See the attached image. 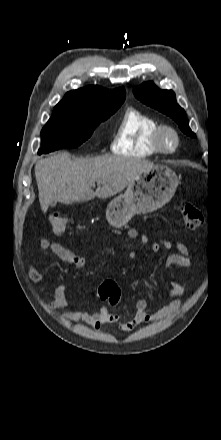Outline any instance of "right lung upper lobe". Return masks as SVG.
Instances as JSON below:
<instances>
[{
  "label": "right lung upper lobe",
  "instance_id": "obj_1",
  "mask_svg": "<svg viewBox=\"0 0 221 440\" xmlns=\"http://www.w3.org/2000/svg\"><path fill=\"white\" fill-rule=\"evenodd\" d=\"M124 87L107 90L100 86H86L69 91L55 107L74 109L102 108L120 106L125 100Z\"/></svg>",
  "mask_w": 221,
  "mask_h": 440
}]
</instances>
